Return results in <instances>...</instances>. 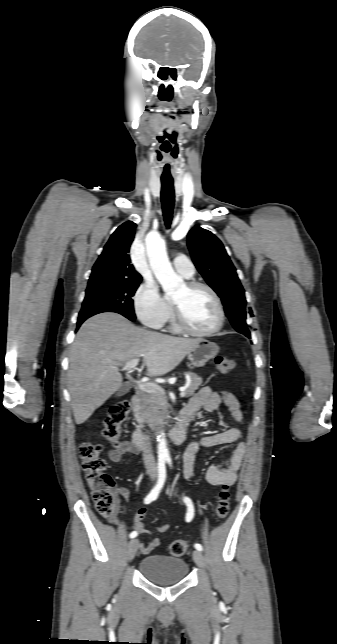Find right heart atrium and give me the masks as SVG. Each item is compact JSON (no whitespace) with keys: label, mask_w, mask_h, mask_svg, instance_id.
Returning <instances> with one entry per match:
<instances>
[{"label":"right heart atrium","mask_w":337,"mask_h":644,"mask_svg":"<svg viewBox=\"0 0 337 644\" xmlns=\"http://www.w3.org/2000/svg\"><path fill=\"white\" fill-rule=\"evenodd\" d=\"M135 311L140 321L154 329L161 328L170 313V305L153 280L143 282L134 296Z\"/></svg>","instance_id":"d8ad5b80"}]
</instances>
